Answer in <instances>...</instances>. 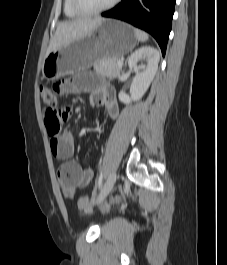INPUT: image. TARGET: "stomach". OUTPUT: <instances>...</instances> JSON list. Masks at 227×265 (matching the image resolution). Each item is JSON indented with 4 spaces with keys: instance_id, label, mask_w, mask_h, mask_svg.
Returning a JSON list of instances; mask_svg holds the SVG:
<instances>
[{
    "instance_id": "obj_1",
    "label": "stomach",
    "mask_w": 227,
    "mask_h": 265,
    "mask_svg": "<svg viewBox=\"0 0 227 265\" xmlns=\"http://www.w3.org/2000/svg\"><path fill=\"white\" fill-rule=\"evenodd\" d=\"M136 43L135 30L130 25L105 19L91 34L51 51L43 60L42 75L56 80L88 69L102 60H118L132 51Z\"/></svg>"
}]
</instances>
